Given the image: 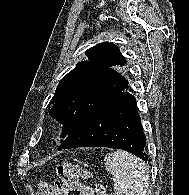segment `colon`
<instances>
[{
  "mask_svg": "<svg viewBox=\"0 0 189 195\" xmlns=\"http://www.w3.org/2000/svg\"><path fill=\"white\" fill-rule=\"evenodd\" d=\"M59 180L54 183L42 181L39 185L41 195H82L81 179L85 178L86 171L75 164L62 162L57 166ZM104 186L96 187L97 195H104Z\"/></svg>",
  "mask_w": 189,
  "mask_h": 195,
  "instance_id": "obj_1",
  "label": "colon"
}]
</instances>
